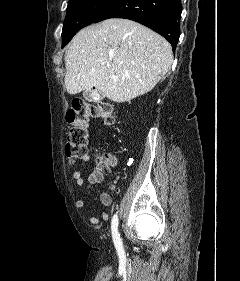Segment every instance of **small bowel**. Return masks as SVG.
Listing matches in <instances>:
<instances>
[{
	"instance_id": "small-bowel-1",
	"label": "small bowel",
	"mask_w": 240,
	"mask_h": 281,
	"mask_svg": "<svg viewBox=\"0 0 240 281\" xmlns=\"http://www.w3.org/2000/svg\"><path fill=\"white\" fill-rule=\"evenodd\" d=\"M84 162L90 161V156H85L83 158ZM116 165V159L112 155L107 156V159L105 160L104 164L96 169H93L87 179L84 178V175L81 171H75L72 174V181L77 185V186H83L86 185L88 188L96 185V184H104L107 186V190L102 192L100 195V201L102 205L105 207H109L112 204V194L116 189V183L114 182H105L104 178V173L103 169L107 170L108 172L114 174V167ZM86 204L83 200H78L76 202V208L78 210H83L85 208ZM101 217L103 220L108 219V215L103 212L101 214ZM87 220L91 224H98L99 219L96 216L90 215L88 216Z\"/></svg>"
}]
</instances>
